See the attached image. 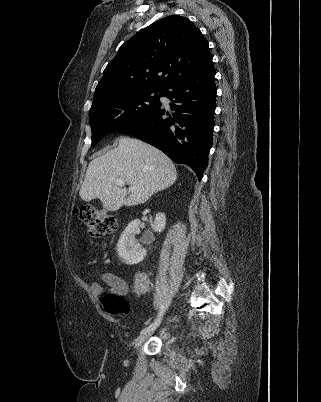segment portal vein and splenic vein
I'll return each instance as SVG.
<instances>
[{
	"label": "portal vein and splenic vein",
	"instance_id": "1",
	"mask_svg": "<svg viewBox=\"0 0 321 402\" xmlns=\"http://www.w3.org/2000/svg\"><path fill=\"white\" fill-rule=\"evenodd\" d=\"M116 184H117L118 186L123 187V186L125 185V180H124V179H121V178L116 179ZM130 191H131V192H134V191H135V188H134V187H130Z\"/></svg>",
	"mask_w": 321,
	"mask_h": 402
}]
</instances>
